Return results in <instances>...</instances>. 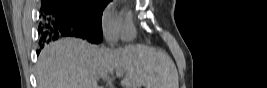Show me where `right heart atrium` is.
<instances>
[{
  "mask_svg": "<svg viewBox=\"0 0 267 88\" xmlns=\"http://www.w3.org/2000/svg\"><path fill=\"white\" fill-rule=\"evenodd\" d=\"M120 20L121 18L116 14L112 5L107 6L102 13V30L107 41L110 43H114L119 36Z\"/></svg>",
  "mask_w": 267,
  "mask_h": 88,
  "instance_id": "1",
  "label": "right heart atrium"
}]
</instances>
